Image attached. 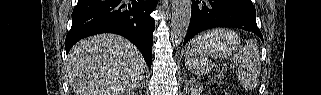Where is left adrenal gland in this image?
<instances>
[{"label":"left adrenal gland","mask_w":321,"mask_h":95,"mask_svg":"<svg viewBox=\"0 0 321 95\" xmlns=\"http://www.w3.org/2000/svg\"><path fill=\"white\" fill-rule=\"evenodd\" d=\"M187 87H188V85H187V80L186 79H184V88L187 90Z\"/></svg>","instance_id":"left-adrenal-gland-1"}]
</instances>
